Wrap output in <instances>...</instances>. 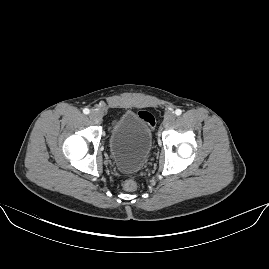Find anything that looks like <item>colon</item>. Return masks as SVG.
<instances>
[{
  "mask_svg": "<svg viewBox=\"0 0 269 269\" xmlns=\"http://www.w3.org/2000/svg\"><path fill=\"white\" fill-rule=\"evenodd\" d=\"M138 118L146 123L150 128H155L156 127V117L155 115L146 109H142L138 112L137 114ZM138 182L135 178H126L123 187L127 191H134L137 189Z\"/></svg>",
  "mask_w": 269,
  "mask_h": 269,
  "instance_id": "colon-1",
  "label": "colon"
}]
</instances>
